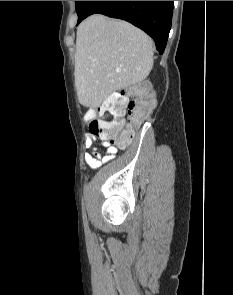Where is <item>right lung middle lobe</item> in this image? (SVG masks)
Segmentation results:
<instances>
[{
  "label": "right lung middle lobe",
  "instance_id": "obj_1",
  "mask_svg": "<svg viewBox=\"0 0 233 295\" xmlns=\"http://www.w3.org/2000/svg\"><path fill=\"white\" fill-rule=\"evenodd\" d=\"M75 2H76V12L78 14V21H79L88 1H75Z\"/></svg>",
  "mask_w": 233,
  "mask_h": 295
}]
</instances>
